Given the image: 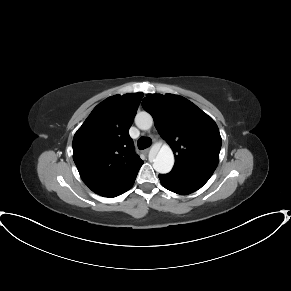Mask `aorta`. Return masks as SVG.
I'll return each mask as SVG.
<instances>
[{"label":"aorta","mask_w":291,"mask_h":291,"mask_svg":"<svg viewBox=\"0 0 291 291\" xmlns=\"http://www.w3.org/2000/svg\"><path fill=\"white\" fill-rule=\"evenodd\" d=\"M135 124L141 130H149L153 125L152 116L145 111L138 112L135 117ZM174 165V154L168 145H163L153 160V168L156 172L166 174L171 171Z\"/></svg>","instance_id":"obj_1"}]
</instances>
